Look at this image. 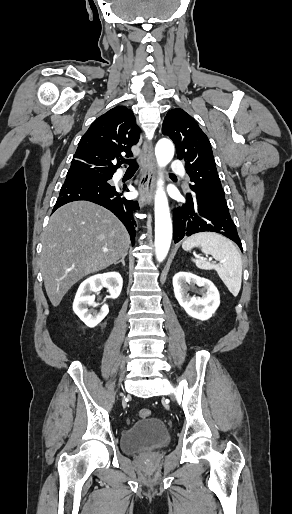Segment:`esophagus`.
<instances>
[{
	"mask_svg": "<svg viewBox=\"0 0 292 514\" xmlns=\"http://www.w3.org/2000/svg\"><path fill=\"white\" fill-rule=\"evenodd\" d=\"M142 161L143 175L138 185L140 207L151 205L154 198L156 161L152 143L148 140L143 144Z\"/></svg>",
	"mask_w": 292,
	"mask_h": 514,
	"instance_id": "obj_1",
	"label": "esophagus"
}]
</instances>
